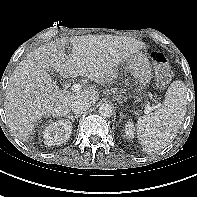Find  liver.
<instances>
[{
	"instance_id": "1",
	"label": "liver",
	"mask_w": 197,
	"mask_h": 197,
	"mask_svg": "<svg viewBox=\"0 0 197 197\" xmlns=\"http://www.w3.org/2000/svg\"><path fill=\"white\" fill-rule=\"evenodd\" d=\"M68 40L61 38L29 53L9 78L4 110L15 136L27 142L34 125L42 117L60 118L71 110V103L80 97L95 104L99 91L95 86L79 92L60 90L48 69L64 78L86 76L101 85L118 77V65L143 49L137 39L113 35L75 36L69 40L71 54L64 51Z\"/></svg>"
}]
</instances>
